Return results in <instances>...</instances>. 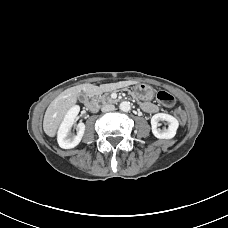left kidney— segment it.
<instances>
[{"mask_svg":"<svg viewBox=\"0 0 228 228\" xmlns=\"http://www.w3.org/2000/svg\"><path fill=\"white\" fill-rule=\"evenodd\" d=\"M160 121H166L168 128L161 130L158 128ZM152 133L158 139H172L176 135L179 123L178 120L165 113H157L151 118Z\"/></svg>","mask_w":228,"mask_h":228,"instance_id":"1","label":"left kidney"}]
</instances>
